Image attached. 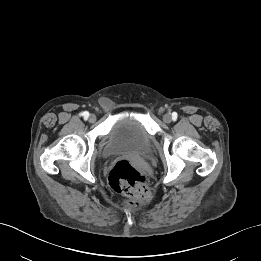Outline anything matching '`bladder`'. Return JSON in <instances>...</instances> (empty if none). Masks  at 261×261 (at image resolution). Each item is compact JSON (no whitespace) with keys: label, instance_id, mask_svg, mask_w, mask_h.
<instances>
[{"label":"bladder","instance_id":"obj_1","mask_svg":"<svg viewBox=\"0 0 261 261\" xmlns=\"http://www.w3.org/2000/svg\"><path fill=\"white\" fill-rule=\"evenodd\" d=\"M152 149V137L137 116L117 117L113 121L103 147L108 158L121 154L144 157Z\"/></svg>","mask_w":261,"mask_h":261}]
</instances>
